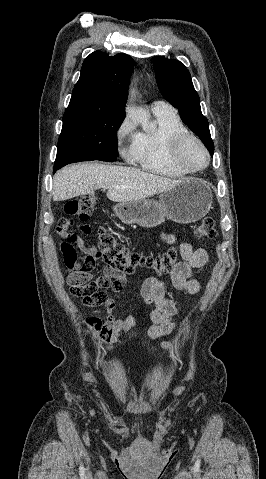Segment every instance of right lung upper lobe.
Returning a JSON list of instances; mask_svg holds the SVG:
<instances>
[{"instance_id":"right-lung-upper-lobe-1","label":"right lung upper lobe","mask_w":266,"mask_h":479,"mask_svg":"<svg viewBox=\"0 0 266 479\" xmlns=\"http://www.w3.org/2000/svg\"><path fill=\"white\" fill-rule=\"evenodd\" d=\"M133 59L119 53L109 56L101 51L91 53L83 62L81 75L63 116H124L128 81Z\"/></svg>"}]
</instances>
